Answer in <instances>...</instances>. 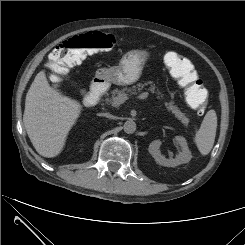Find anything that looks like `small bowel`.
Returning a JSON list of instances; mask_svg holds the SVG:
<instances>
[{"mask_svg": "<svg viewBox=\"0 0 245 245\" xmlns=\"http://www.w3.org/2000/svg\"><path fill=\"white\" fill-rule=\"evenodd\" d=\"M171 53H172V52H171ZM171 53H168V54L166 55L165 60L167 59L168 55H170ZM185 73H186L187 75H191V76H193L195 79H197V73H196V71H195V69H194V66H193L192 63H191L188 59H186V58H185Z\"/></svg>", "mask_w": 245, "mask_h": 245, "instance_id": "obj_1", "label": "small bowel"}]
</instances>
